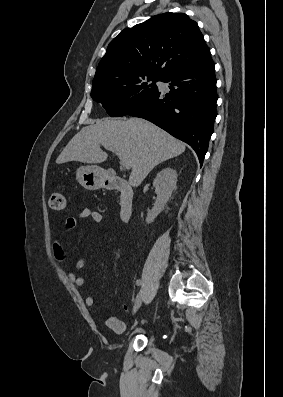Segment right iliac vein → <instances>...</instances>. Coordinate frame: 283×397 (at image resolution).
Returning a JSON list of instances; mask_svg holds the SVG:
<instances>
[{
  "label": "right iliac vein",
  "instance_id": "right-iliac-vein-1",
  "mask_svg": "<svg viewBox=\"0 0 283 397\" xmlns=\"http://www.w3.org/2000/svg\"><path fill=\"white\" fill-rule=\"evenodd\" d=\"M141 303H142V292H140L139 295L137 296L136 303L133 308V314L137 312V310L141 306Z\"/></svg>",
  "mask_w": 283,
  "mask_h": 397
}]
</instances>
